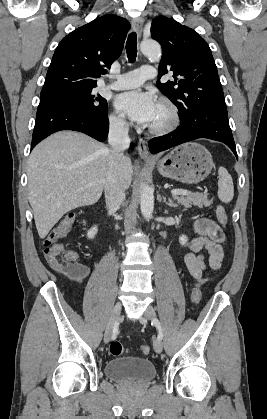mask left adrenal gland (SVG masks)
<instances>
[{"instance_id": "obj_1", "label": "left adrenal gland", "mask_w": 267, "mask_h": 419, "mask_svg": "<svg viewBox=\"0 0 267 419\" xmlns=\"http://www.w3.org/2000/svg\"><path fill=\"white\" fill-rule=\"evenodd\" d=\"M163 202L166 203L168 206L170 207H176L177 205L173 203V201L171 199H168V202L166 201V198L163 197Z\"/></svg>"}]
</instances>
